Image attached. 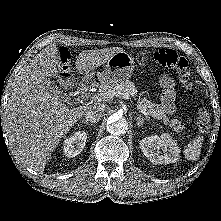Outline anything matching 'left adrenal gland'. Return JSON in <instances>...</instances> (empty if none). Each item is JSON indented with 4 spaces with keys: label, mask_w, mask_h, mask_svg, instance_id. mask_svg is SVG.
Here are the masks:
<instances>
[{
    "label": "left adrenal gland",
    "mask_w": 221,
    "mask_h": 221,
    "mask_svg": "<svg viewBox=\"0 0 221 221\" xmlns=\"http://www.w3.org/2000/svg\"><path fill=\"white\" fill-rule=\"evenodd\" d=\"M145 120H148L147 118L141 117L140 115L136 118L137 126L141 127Z\"/></svg>",
    "instance_id": "1"
}]
</instances>
